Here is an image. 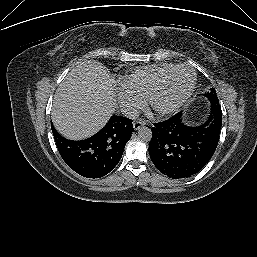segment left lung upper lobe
<instances>
[{
    "label": "left lung upper lobe",
    "mask_w": 257,
    "mask_h": 257,
    "mask_svg": "<svg viewBox=\"0 0 257 257\" xmlns=\"http://www.w3.org/2000/svg\"><path fill=\"white\" fill-rule=\"evenodd\" d=\"M210 102L219 104V100L216 94L215 89L211 88L209 92L203 94Z\"/></svg>",
    "instance_id": "1"
}]
</instances>
